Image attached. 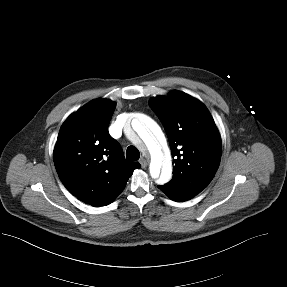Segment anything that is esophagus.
<instances>
[{"label": "esophagus", "instance_id": "obj_1", "mask_svg": "<svg viewBox=\"0 0 287 287\" xmlns=\"http://www.w3.org/2000/svg\"><path fill=\"white\" fill-rule=\"evenodd\" d=\"M140 164L142 168H146L148 165V160H146L145 158L140 159Z\"/></svg>", "mask_w": 287, "mask_h": 287}]
</instances>
